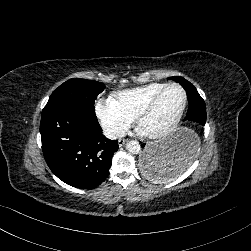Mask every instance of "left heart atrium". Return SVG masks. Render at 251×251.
<instances>
[{"label": "left heart atrium", "instance_id": "obj_1", "mask_svg": "<svg viewBox=\"0 0 251 251\" xmlns=\"http://www.w3.org/2000/svg\"><path fill=\"white\" fill-rule=\"evenodd\" d=\"M136 133L141 136H149L151 135V131L148 130L145 126L141 125L137 130Z\"/></svg>", "mask_w": 251, "mask_h": 251}]
</instances>
